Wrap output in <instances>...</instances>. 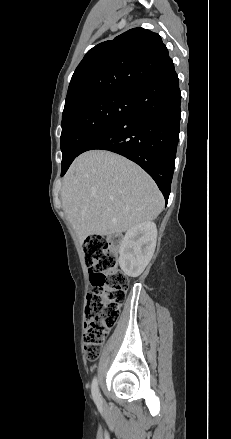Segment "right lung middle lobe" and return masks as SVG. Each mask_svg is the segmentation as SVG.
<instances>
[{
	"instance_id": "right-lung-middle-lobe-1",
	"label": "right lung middle lobe",
	"mask_w": 231,
	"mask_h": 439,
	"mask_svg": "<svg viewBox=\"0 0 231 439\" xmlns=\"http://www.w3.org/2000/svg\"><path fill=\"white\" fill-rule=\"evenodd\" d=\"M135 109L134 93L99 95L71 107L62 116V170L97 131Z\"/></svg>"
}]
</instances>
